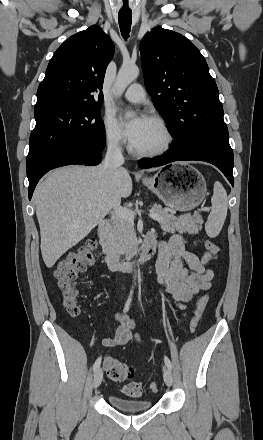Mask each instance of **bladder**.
Returning a JSON list of instances; mask_svg holds the SVG:
<instances>
[{"mask_svg": "<svg viewBox=\"0 0 263 440\" xmlns=\"http://www.w3.org/2000/svg\"><path fill=\"white\" fill-rule=\"evenodd\" d=\"M108 399L115 408L126 412L145 411L152 407V402L147 399L126 398L115 394H110Z\"/></svg>", "mask_w": 263, "mask_h": 440, "instance_id": "1", "label": "bladder"}]
</instances>
